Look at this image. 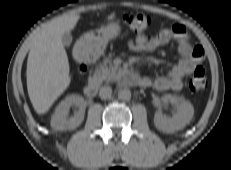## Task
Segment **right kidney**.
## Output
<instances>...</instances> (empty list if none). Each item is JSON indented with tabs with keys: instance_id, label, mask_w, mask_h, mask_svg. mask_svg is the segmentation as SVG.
<instances>
[{
	"instance_id": "right-kidney-1",
	"label": "right kidney",
	"mask_w": 231,
	"mask_h": 170,
	"mask_svg": "<svg viewBox=\"0 0 231 170\" xmlns=\"http://www.w3.org/2000/svg\"><path fill=\"white\" fill-rule=\"evenodd\" d=\"M71 107H76L74 116L68 118ZM85 102L79 95L66 97L56 107L55 113L51 118V127L55 130L65 131L77 128L84 120Z\"/></svg>"
}]
</instances>
